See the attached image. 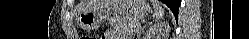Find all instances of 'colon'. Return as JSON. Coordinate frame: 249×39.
Here are the masks:
<instances>
[{
	"mask_svg": "<svg viewBox=\"0 0 249 39\" xmlns=\"http://www.w3.org/2000/svg\"><path fill=\"white\" fill-rule=\"evenodd\" d=\"M81 39H93L90 35H87V34H83L81 36Z\"/></svg>",
	"mask_w": 249,
	"mask_h": 39,
	"instance_id": "colon-1",
	"label": "colon"
}]
</instances>
